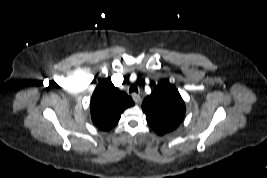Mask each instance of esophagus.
Segmentation results:
<instances>
[{"instance_id": "34e87169", "label": "esophagus", "mask_w": 267, "mask_h": 178, "mask_svg": "<svg viewBox=\"0 0 267 178\" xmlns=\"http://www.w3.org/2000/svg\"><path fill=\"white\" fill-rule=\"evenodd\" d=\"M132 98L135 101V103L139 104L141 102V97L138 94H132Z\"/></svg>"}]
</instances>
